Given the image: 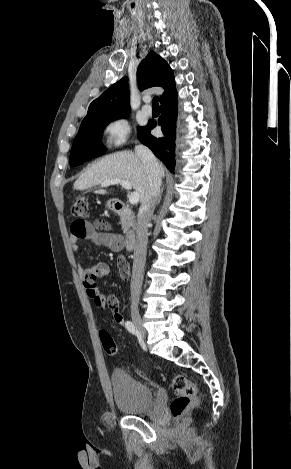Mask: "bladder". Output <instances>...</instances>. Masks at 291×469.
I'll return each mask as SVG.
<instances>
[{
  "mask_svg": "<svg viewBox=\"0 0 291 469\" xmlns=\"http://www.w3.org/2000/svg\"><path fill=\"white\" fill-rule=\"evenodd\" d=\"M111 385L116 407L128 415L147 412L153 404V391L149 385L134 378L126 370L115 368Z\"/></svg>",
  "mask_w": 291,
  "mask_h": 469,
  "instance_id": "obj_1",
  "label": "bladder"
}]
</instances>
